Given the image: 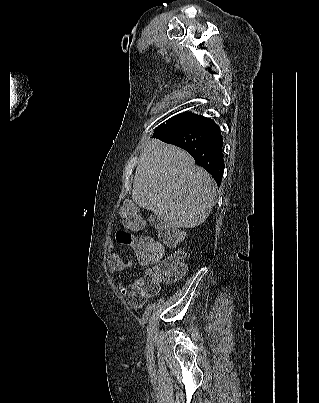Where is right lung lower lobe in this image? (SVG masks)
Instances as JSON below:
<instances>
[{
    "instance_id": "obj_1",
    "label": "right lung lower lobe",
    "mask_w": 319,
    "mask_h": 403,
    "mask_svg": "<svg viewBox=\"0 0 319 403\" xmlns=\"http://www.w3.org/2000/svg\"><path fill=\"white\" fill-rule=\"evenodd\" d=\"M153 137L186 150L196 164L213 176L217 185L221 184L224 170L223 137L213 120L203 118L187 126L166 128Z\"/></svg>"
}]
</instances>
